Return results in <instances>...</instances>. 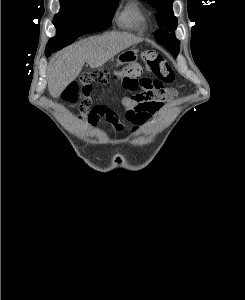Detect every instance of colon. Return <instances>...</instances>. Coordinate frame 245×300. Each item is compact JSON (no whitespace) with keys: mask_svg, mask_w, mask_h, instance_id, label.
<instances>
[{"mask_svg":"<svg viewBox=\"0 0 245 300\" xmlns=\"http://www.w3.org/2000/svg\"><path fill=\"white\" fill-rule=\"evenodd\" d=\"M142 62L129 64L119 70L108 71L98 69L81 76L79 83L69 85L64 91L63 98L69 103H75L81 93L89 94L94 85H106L111 81L122 85L128 90H134L141 79L144 69L154 75L151 86L154 95L162 100L173 99L177 91L166 86L175 82L176 76L167 60L157 51L148 50L142 54Z\"/></svg>","mask_w":245,"mask_h":300,"instance_id":"colon-1","label":"colon"}]
</instances>
